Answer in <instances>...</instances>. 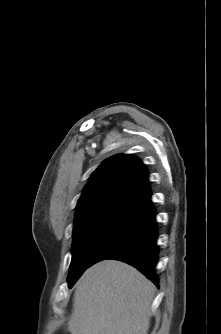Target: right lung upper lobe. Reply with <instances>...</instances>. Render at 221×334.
I'll return each mask as SVG.
<instances>
[{
	"mask_svg": "<svg viewBox=\"0 0 221 334\" xmlns=\"http://www.w3.org/2000/svg\"><path fill=\"white\" fill-rule=\"evenodd\" d=\"M148 172L140 159L115 155L91 175L80 197L74 228L85 219L102 214L147 217L153 210Z\"/></svg>",
	"mask_w": 221,
	"mask_h": 334,
	"instance_id": "1",
	"label": "right lung upper lobe"
}]
</instances>
